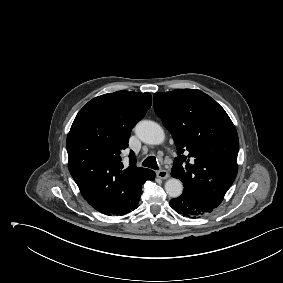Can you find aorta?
<instances>
[{
    "mask_svg": "<svg viewBox=\"0 0 283 283\" xmlns=\"http://www.w3.org/2000/svg\"><path fill=\"white\" fill-rule=\"evenodd\" d=\"M135 132L138 138L146 144L159 145L165 139L162 127L150 120L140 121L135 127ZM165 191L170 197L176 198L182 194L183 185L180 180L170 178L165 183Z\"/></svg>",
    "mask_w": 283,
    "mask_h": 283,
    "instance_id": "obj_1",
    "label": "aorta"
}]
</instances>
